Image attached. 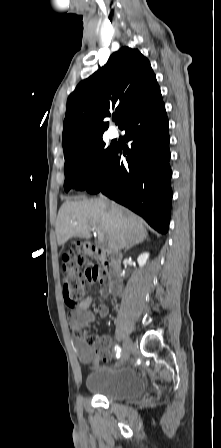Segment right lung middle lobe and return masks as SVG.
Masks as SVG:
<instances>
[{
	"label": "right lung middle lobe",
	"instance_id": "1",
	"mask_svg": "<svg viewBox=\"0 0 221 448\" xmlns=\"http://www.w3.org/2000/svg\"><path fill=\"white\" fill-rule=\"evenodd\" d=\"M116 146H106L102 138L96 139L86 145L78 153L65 158L64 189H86L98 178L107 166Z\"/></svg>",
	"mask_w": 221,
	"mask_h": 448
}]
</instances>
